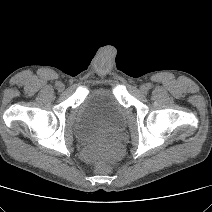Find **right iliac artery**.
Returning <instances> with one entry per match:
<instances>
[{
    "label": "right iliac artery",
    "instance_id": "right-iliac-artery-1",
    "mask_svg": "<svg viewBox=\"0 0 212 212\" xmlns=\"http://www.w3.org/2000/svg\"><path fill=\"white\" fill-rule=\"evenodd\" d=\"M59 85V83H56V86H58Z\"/></svg>",
    "mask_w": 212,
    "mask_h": 212
}]
</instances>
